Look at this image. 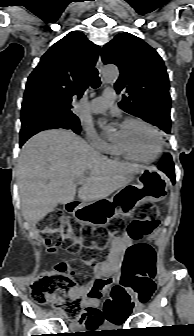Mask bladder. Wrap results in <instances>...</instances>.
I'll list each match as a JSON object with an SVG mask.
<instances>
[{"mask_svg":"<svg viewBox=\"0 0 194 336\" xmlns=\"http://www.w3.org/2000/svg\"><path fill=\"white\" fill-rule=\"evenodd\" d=\"M86 328V324L85 323H76L72 326L71 329L73 330H83Z\"/></svg>","mask_w":194,"mask_h":336,"instance_id":"1","label":"bladder"}]
</instances>
